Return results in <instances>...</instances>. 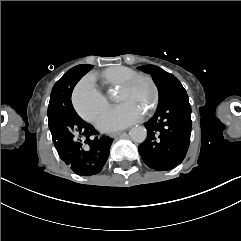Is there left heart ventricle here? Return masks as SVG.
<instances>
[{"label": "left heart ventricle", "mask_w": 241, "mask_h": 241, "mask_svg": "<svg viewBox=\"0 0 241 241\" xmlns=\"http://www.w3.org/2000/svg\"><path fill=\"white\" fill-rule=\"evenodd\" d=\"M154 92L152 80L141 78L133 81L123 92V99L126 106L132 107L135 110H147L151 104ZM120 97V92H118Z\"/></svg>", "instance_id": "1"}]
</instances>
